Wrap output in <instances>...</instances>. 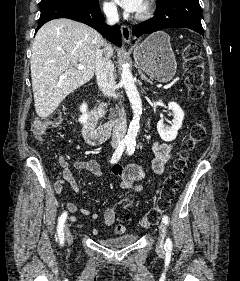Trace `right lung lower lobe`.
Listing matches in <instances>:
<instances>
[{"label": "right lung lower lobe", "instance_id": "obj_1", "mask_svg": "<svg viewBox=\"0 0 240 281\" xmlns=\"http://www.w3.org/2000/svg\"><path fill=\"white\" fill-rule=\"evenodd\" d=\"M41 15L36 31L46 22L57 18H69L85 23L117 46H121V32L118 25L109 27L104 21L99 3L94 6L73 2H56L40 9Z\"/></svg>", "mask_w": 240, "mask_h": 281}]
</instances>
